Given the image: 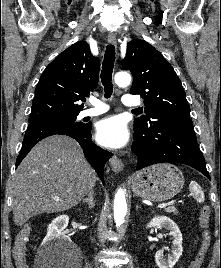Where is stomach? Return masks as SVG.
Instances as JSON below:
<instances>
[{
  "instance_id": "1",
  "label": "stomach",
  "mask_w": 221,
  "mask_h": 268,
  "mask_svg": "<svg viewBox=\"0 0 221 268\" xmlns=\"http://www.w3.org/2000/svg\"><path fill=\"white\" fill-rule=\"evenodd\" d=\"M184 185L181 170L169 163L156 164L137 172L132 179L135 195L151 201H166Z\"/></svg>"
}]
</instances>
